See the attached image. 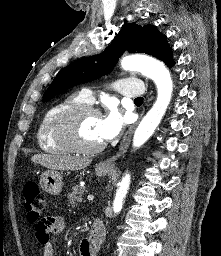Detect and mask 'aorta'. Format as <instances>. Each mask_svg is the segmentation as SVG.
<instances>
[{
    "mask_svg": "<svg viewBox=\"0 0 221 256\" xmlns=\"http://www.w3.org/2000/svg\"><path fill=\"white\" fill-rule=\"evenodd\" d=\"M121 67L124 70L140 71L143 75L151 78L157 87V99L134 133L133 146L138 148L152 136L161 122L171 101L173 83L168 69L164 64L156 60H143L129 56L121 60ZM130 181V175L126 174L119 184L113 201V210L115 213H118L122 209Z\"/></svg>",
    "mask_w": 221,
    "mask_h": 256,
    "instance_id": "762f6f07",
    "label": "aorta"
}]
</instances>
